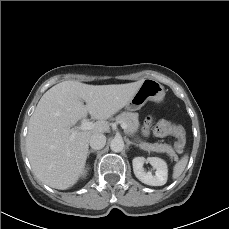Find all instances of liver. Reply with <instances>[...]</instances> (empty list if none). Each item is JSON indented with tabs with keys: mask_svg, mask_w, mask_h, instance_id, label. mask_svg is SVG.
<instances>
[{
	"mask_svg": "<svg viewBox=\"0 0 229 229\" xmlns=\"http://www.w3.org/2000/svg\"><path fill=\"white\" fill-rule=\"evenodd\" d=\"M143 81L111 85L64 81L50 88L30 118L26 138L28 158L36 177L59 190L76 184L85 168L90 137L108 131L106 120L131 101ZM88 113L98 120L95 127L77 131L71 140L70 127Z\"/></svg>",
	"mask_w": 229,
	"mask_h": 229,
	"instance_id": "obj_1",
	"label": "liver"
}]
</instances>
